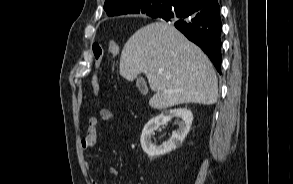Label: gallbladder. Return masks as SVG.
<instances>
[{
	"instance_id": "bac80fb5",
	"label": "gallbladder",
	"mask_w": 293,
	"mask_h": 184,
	"mask_svg": "<svg viewBox=\"0 0 293 184\" xmlns=\"http://www.w3.org/2000/svg\"><path fill=\"white\" fill-rule=\"evenodd\" d=\"M137 84H138L139 86L142 85V80H141V78H138V79H137Z\"/></svg>"
}]
</instances>
